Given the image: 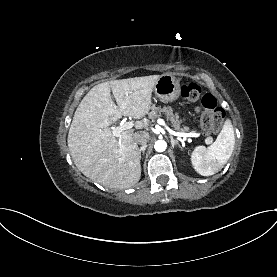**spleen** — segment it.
<instances>
[{"mask_svg": "<svg viewBox=\"0 0 277 277\" xmlns=\"http://www.w3.org/2000/svg\"><path fill=\"white\" fill-rule=\"evenodd\" d=\"M235 145L234 128L231 120L224 122L217 139L209 147L197 146L191 154V162L202 176L218 173L232 155Z\"/></svg>", "mask_w": 277, "mask_h": 277, "instance_id": "obj_1", "label": "spleen"}]
</instances>
